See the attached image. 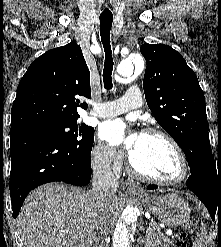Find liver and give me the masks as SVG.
I'll return each instance as SVG.
<instances>
[{
  "label": "liver",
  "mask_w": 221,
  "mask_h": 247,
  "mask_svg": "<svg viewBox=\"0 0 221 247\" xmlns=\"http://www.w3.org/2000/svg\"><path fill=\"white\" fill-rule=\"evenodd\" d=\"M88 190L49 183L26 198L17 220L27 247H91L99 227L109 231L111 213L121 205L114 194L104 210L98 209Z\"/></svg>",
  "instance_id": "liver-1"
}]
</instances>
